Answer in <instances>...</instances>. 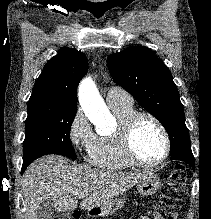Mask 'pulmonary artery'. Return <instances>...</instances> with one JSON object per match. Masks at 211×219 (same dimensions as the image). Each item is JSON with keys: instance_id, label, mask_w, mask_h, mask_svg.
Wrapping results in <instances>:
<instances>
[{"instance_id": "pulmonary-artery-1", "label": "pulmonary artery", "mask_w": 211, "mask_h": 219, "mask_svg": "<svg viewBox=\"0 0 211 219\" xmlns=\"http://www.w3.org/2000/svg\"><path fill=\"white\" fill-rule=\"evenodd\" d=\"M106 101L113 104H132V97L119 87H111L106 94Z\"/></svg>"}]
</instances>
